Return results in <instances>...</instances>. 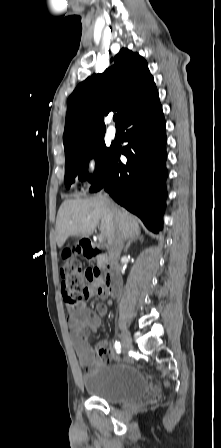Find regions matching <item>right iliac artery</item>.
I'll use <instances>...</instances> for the list:
<instances>
[{"mask_svg":"<svg viewBox=\"0 0 221 448\" xmlns=\"http://www.w3.org/2000/svg\"><path fill=\"white\" fill-rule=\"evenodd\" d=\"M115 349H116L117 353H120V352H121V345H120V343L117 342V341H116V343H115Z\"/></svg>","mask_w":221,"mask_h":448,"instance_id":"obj_1","label":"right iliac artery"}]
</instances>
